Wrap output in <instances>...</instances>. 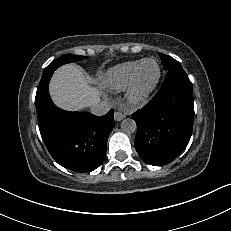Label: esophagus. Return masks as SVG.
<instances>
[{
    "instance_id": "34e87169",
    "label": "esophagus",
    "mask_w": 231,
    "mask_h": 231,
    "mask_svg": "<svg viewBox=\"0 0 231 231\" xmlns=\"http://www.w3.org/2000/svg\"><path fill=\"white\" fill-rule=\"evenodd\" d=\"M125 117H126V114L124 112H121V111H115L114 112V119H115V121H121Z\"/></svg>"
}]
</instances>
